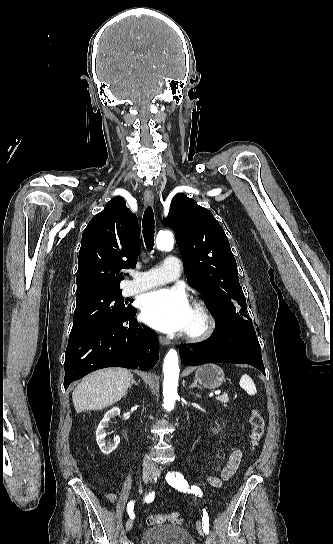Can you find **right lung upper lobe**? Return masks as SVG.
<instances>
[{
	"instance_id": "obj_1",
	"label": "right lung upper lobe",
	"mask_w": 333,
	"mask_h": 544,
	"mask_svg": "<svg viewBox=\"0 0 333 544\" xmlns=\"http://www.w3.org/2000/svg\"><path fill=\"white\" fill-rule=\"evenodd\" d=\"M140 251L139 225L121 197L107 202L82 235L76 299L120 290L124 269L134 268Z\"/></svg>"
}]
</instances>
